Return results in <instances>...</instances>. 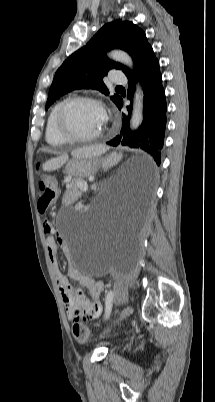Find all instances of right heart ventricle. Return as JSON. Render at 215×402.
Wrapping results in <instances>:
<instances>
[{"mask_svg":"<svg viewBox=\"0 0 215 402\" xmlns=\"http://www.w3.org/2000/svg\"><path fill=\"white\" fill-rule=\"evenodd\" d=\"M61 103L62 101H59L52 107L46 122L45 138L52 146H63L69 142L59 134L56 128V113Z\"/></svg>","mask_w":215,"mask_h":402,"instance_id":"right-heart-ventricle-1","label":"right heart ventricle"}]
</instances>
